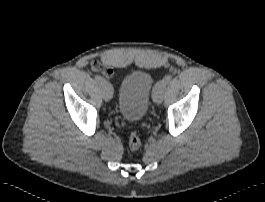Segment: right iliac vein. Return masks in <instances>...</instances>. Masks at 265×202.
<instances>
[{"label":"right iliac vein","instance_id":"obj_1","mask_svg":"<svg viewBox=\"0 0 265 202\" xmlns=\"http://www.w3.org/2000/svg\"><path fill=\"white\" fill-rule=\"evenodd\" d=\"M102 95L104 100L109 101L112 99L113 96V88L109 82H102L101 83Z\"/></svg>","mask_w":265,"mask_h":202}]
</instances>
